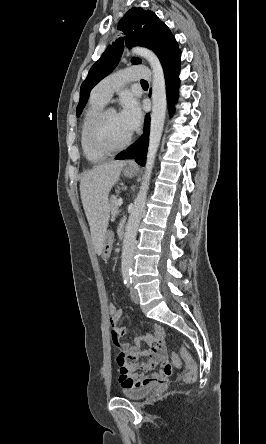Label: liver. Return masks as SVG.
I'll return each instance as SVG.
<instances>
[{
    "instance_id": "liver-1",
    "label": "liver",
    "mask_w": 266,
    "mask_h": 444,
    "mask_svg": "<svg viewBox=\"0 0 266 444\" xmlns=\"http://www.w3.org/2000/svg\"><path fill=\"white\" fill-rule=\"evenodd\" d=\"M125 161H112L86 172L80 181V195L90 226L95 251L102 253V246L109 222L108 196L118 181Z\"/></svg>"
}]
</instances>
